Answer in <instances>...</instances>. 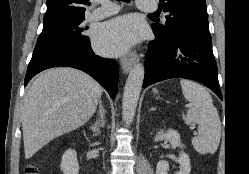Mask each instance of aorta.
<instances>
[{
    "instance_id": "1",
    "label": "aorta",
    "mask_w": 249,
    "mask_h": 174,
    "mask_svg": "<svg viewBox=\"0 0 249 174\" xmlns=\"http://www.w3.org/2000/svg\"><path fill=\"white\" fill-rule=\"evenodd\" d=\"M144 73L143 64L137 63L128 75L122 99L123 121L126 125H130L134 119Z\"/></svg>"
}]
</instances>
